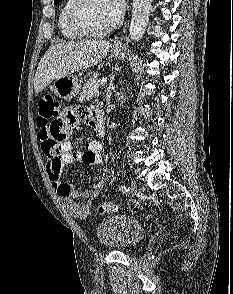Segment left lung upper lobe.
<instances>
[{
	"instance_id": "obj_1",
	"label": "left lung upper lobe",
	"mask_w": 233,
	"mask_h": 294,
	"mask_svg": "<svg viewBox=\"0 0 233 294\" xmlns=\"http://www.w3.org/2000/svg\"><path fill=\"white\" fill-rule=\"evenodd\" d=\"M60 0H54V4H57Z\"/></svg>"
}]
</instances>
